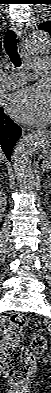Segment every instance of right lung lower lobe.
Masks as SVG:
<instances>
[{
    "instance_id": "98d812e1",
    "label": "right lung lower lobe",
    "mask_w": 51,
    "mask_h": 393,
    "mask_svg": "<svg viewBox=\"0 0 51 393\" xmlns=\"http://www.w3.org/2000/svg\"><path fill=\"white\" fill-rule=\"evenodd\" d=\"M21 136V128L4 114L0 107V152L11 160V154L16 141Z\"/></svg>"
}]
</instances>
